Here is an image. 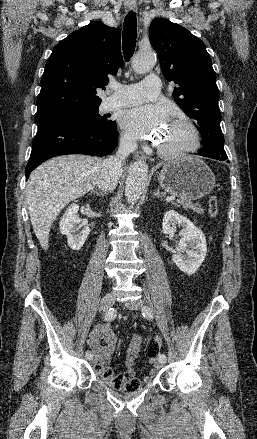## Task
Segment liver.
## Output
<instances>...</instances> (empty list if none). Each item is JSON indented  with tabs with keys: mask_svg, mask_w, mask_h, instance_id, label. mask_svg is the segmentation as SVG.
I'll return each mask as SVG.
<instances>
[{
	"mask_svg": "<svg viewBox=\"0 0 257 439\" xmlns=\"http://www.w3.org/2000/svg\"><path fill=\"white\" fill-rule=\"evenodd\" d=\"M102 159L85 155L54 157L36 168L26 187L31 223L40 245L48 249L51 225L71 201L97 184Z\"/></svg>",
	"mask_w": 257,
	"mask_h": 439,
	"instance_id": "1",
	"label": "liver"
}]
</instances>
